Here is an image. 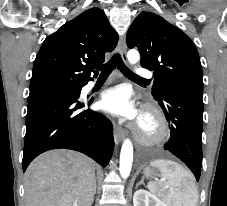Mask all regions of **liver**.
Wrapping results in <instances>:
<instances>
[{
  "mask_svg": "<svg viewBox=\"0 0 227 206\" xmlns=\"http://www.w3.org/2000/svg\"><path fill=\"white\" fill-rule=\"evenodd\" d=\"M95 182L87 156L64 149L45 152L25 173V206H91Z\"/></svg>",
  "mask_w": 227,
  "mask_h": 206,
  "instance_id": "1",
  "label": "liver"
}]
</instances>
